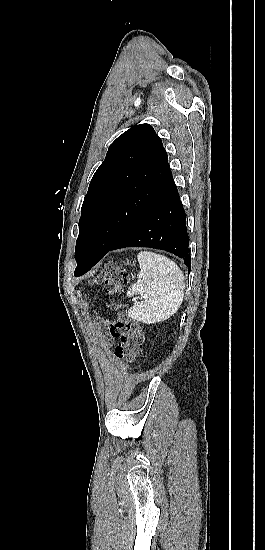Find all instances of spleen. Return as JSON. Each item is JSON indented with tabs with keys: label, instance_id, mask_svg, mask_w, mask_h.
<instances>
[{
	"label": "spleen",
	"instance_id": "3e777b00",
	"mask_svg": "<svg viewBox=\"0 0 265 550\" xmlns=\"http://www.w3.org/2000/svg\"><path fill=\"white\" fill-rule=\"evenodd\" d=\"M140 273L127 296L145 294V300L128 310V317L146 324L164 321L174 315L184 298V275L176 263L150 251L138 253Z\"/></svg>",
	"mask_w": 265,
	"mask_h": 550
}]
</instances>
